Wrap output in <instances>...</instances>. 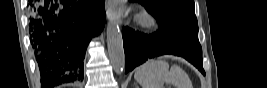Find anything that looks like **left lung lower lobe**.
<instances>
[{
	"label": "left lung lower lobe",
	"instance_id": "1",
	"mask_svg": "<svg viewBox=\"0 0 267 88\" xmlns=\"http://www.w3.org/2000/svg\"><path fill=\"white\" fill-rule=\"evenodd\" d=\"M126 73L148 58L163 54L181 56L196 66L203 74L202 48L198 30L178 26H161L151 35L135 32L126 27L122 30Z\"/></svg>",
	"mask_w": 267,
	"mask_h": 88
}]
</instances>
